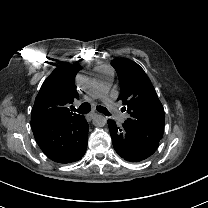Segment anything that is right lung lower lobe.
<instances>
[{"label":"right lung lower lobe","instance_id":"98d812e1","mask_svg":"<svg viewBox=\"0 0 208 208\" xmlns=\"http://www.w3.org/2000/svg\"><path fill=\"white\" fill-rule=\"evenodd\" d=\"M31 128L43 153L55 162L72 163L86 152L89 125L83 115L70 121L36 124Z\"/></svg>","mask_w":208,"mask_h":208}]
</instances>
